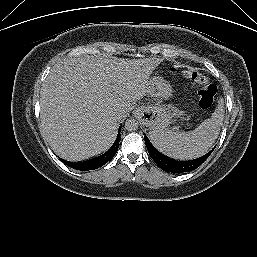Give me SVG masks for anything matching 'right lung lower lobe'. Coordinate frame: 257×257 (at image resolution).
I'll use <instances>...</instances> for the list:
<instances>
[{"label": "right lung lower lobe", "instance_id": "1", "mask_svg": "<svg viewBox=\"0 0 257 257\" xmlns=\"http://www.w3.org/2000/svg\"><path fill=\"white\" fill-rule=\"evenodd\" d=\"M120 131H121V126L119 127V133L117 135V138H116L114 144L104 154H102L96 158H93V159H90L87 161H83V162H78V163H71V162H68V161H65L62 159H61V161L73 169L82 170V171L94 170V169H97V168L103 166L104 164H106L108 161H110L115 156V154L119 148Z\"/></svg>", "mask_w": 257, "mask_h": 257}]
</instances>
